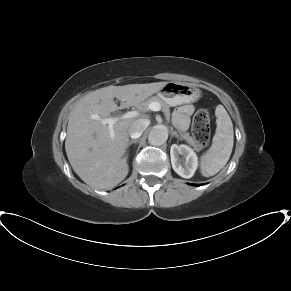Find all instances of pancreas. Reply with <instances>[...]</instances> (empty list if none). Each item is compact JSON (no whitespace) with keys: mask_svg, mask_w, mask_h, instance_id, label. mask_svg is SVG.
<instances>
[{"mask_svg":"<svg viewBox=\"0 0 291 291\" xmlns=\"http://www.w3.org/2000/svg\"><path fill=\"white\" fill-rule=\"evenodd\" d=\"M152 102H158L161 105V109L164 112L165 116L169 118L170 116L169 106L157 96H153L147 99L146 101L138 105V108L142 111H147L149 104ZM180 136H181V139L185 140L189 145L193 146L196 150L202 149L203 145L200 144L194 137L190 136L188 132L186 133L180 132Z\"/></svg>","mask_w":291,"mask_h":291,"instance_id":"cf45deb5","label":"pancreas"}]
</instances>
